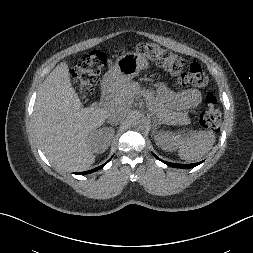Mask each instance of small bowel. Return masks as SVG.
I'll use <instances>...</instances> for the list:
<instances>
[{"mask_svg":"<svg viewBox=\"0 0 253 253\" xmlns=\"http://www.w3.org/2000/svg\"><path fill=\"white\" fill-rule=\"evenodd\" d=\"M158 93L166 105L175 110H190L201 103V94L196 89L173 92L163 84L158 86Z\"/></svg>","mask_w":253,"mask_h":253,"instance_id":"obj_1","label":"small bowel"}]
</instances>
